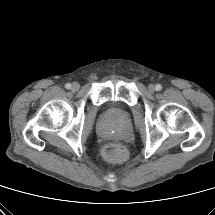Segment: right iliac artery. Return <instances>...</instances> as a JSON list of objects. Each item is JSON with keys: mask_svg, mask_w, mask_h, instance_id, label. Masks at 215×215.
Here are the masks:
<instances>
[{"mask_svg": "<svg viewBox=\"0 0 215 215\" xmlns=\"http://www.w3.org/2000/svg\"><path fill=\"white\" fill-rule=\"evenodd\" d=\"M65 88H66V89H70V88H71V84H70V83H67V84L65 85Z\"/></svg>", "mask_w": 215, "mask_h": 215, "instance_id": "obj_1", "label": "right iliac artery"}]
</instances>
